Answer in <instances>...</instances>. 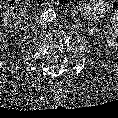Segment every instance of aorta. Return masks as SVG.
Segmentation results:
<instances>
[{"instance_id":"aorta-1","label":"aorta","mask_w":118,"mask_h":118,"mask_svg":"<svg viewBox=\"0 0 118 118\" xmlns=\"http://www.w3.org/2000/svg\"><path fill=\"white\" fill-rule=\"evenodd\" d=\"M42 16L46 22H52L56 18V12L53 9H48L43 13Z\"/></svg>"}]
</instances>
